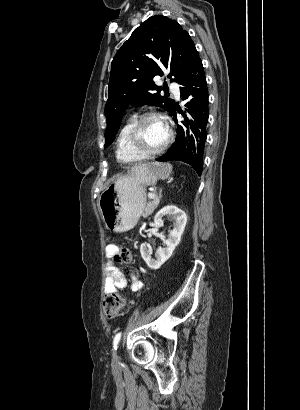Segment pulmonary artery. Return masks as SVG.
Masks as SVG:
<instances>
[{
  "label": "pulmonary artery",
  "instance_id": "obj_1",
  "mask_svg": "<svg viewBox=\"0 0 300 410\" xmlns=\"http://www.w3.org/2000/svg\"><path fill=\"white\" fill-rule=\"evenodd\" d=\"M170 88H171V91L176 95V97H179V93H180L179 87L176 84L172 83L170 85Z\"/></svg>",
  "mask_w": 300,
  "mask_h": 410
}]
</instances>
